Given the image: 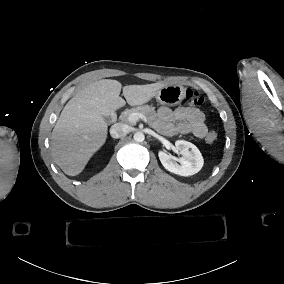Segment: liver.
<instances>
[{"mask_svg":"<svg viewBox=\"0 0 284 284\" xmlns=\"http://www.w3.org/2000/svg\"><path fill=\"white\" fill-rule=\"evenodd\" d=\"M164 83L128 85L123 95L130 106L147 103ZM117 80L102 79L82 87L62 110L52 132V156L69 176L82 172L91 156L105 143L109 116L126 102Z\"/></svg>","mask_w":284,"mask_h":284,"instance_id":"obj_1","label":"liver"}]
</instances>
